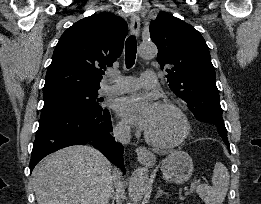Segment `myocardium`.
<instances>
[{"label":"myocardium","mask_w":261,"mask_h":204,"mask_svg":"<svg viewBox=\"0 0 261 204\" xmlns=\"http://www.w3.org/2000/svg\"><path fill=\"white\" fill-rule=\"evenodd\" d=\"M156 107L159 108H168L173 110L178 117L180 118L182 122V133L181 135L170 142H160L155 139H153L147 132L144 133L145 140L152 146L160 149H171L174 147L179 146L182 144L189 136L190 131H191V124L190 121L186 115V113L183 111V109L177 105L176 103H173L171 101H161L157 103Z\"/></svg>","instance_id":"myocardium-1"}]
</instances>
